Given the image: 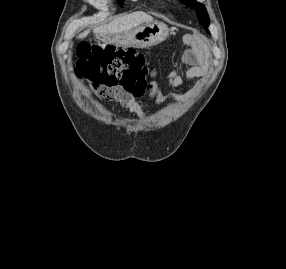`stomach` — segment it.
Returning <instances> with one entry per match:
<instances>
[{
  "instance_id": "1",
  "label": "stomach",
  "mask_w": 286,
  "mask_h": 269,
  "mask_svg": "<svg viewBox=\"0 0 286 269\" xmlns=\"http://www.w3.org/2000/svg\"><path fill=\"white\" fill-rule=\"evenodd\" d=\"M168 36L167 25L160 21H153L139 25L128 32L109 37L105 43L146 48L161 43Z\"/></svg>"
}]
</instances>
